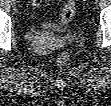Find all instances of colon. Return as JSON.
<instances>
[{"label": "colon", "mask_w": 111, "mask_h": 106, "mask_svg": "<svg viewBox=\"0 0 111 106\" xmlns=\"http://www.w3.org/2000/svg\"><path fill=\"white\" fill-rule=\"evenodd\" d=\"M76 11L75 2L74 1H68L61 13V23L67 24L71 22L74 18ZM70 55L67 52L60 53L56 58V63L58 65H66L69 62Z\"/></svg>", "instance_id": "5ec220e1"}]
</instances>
